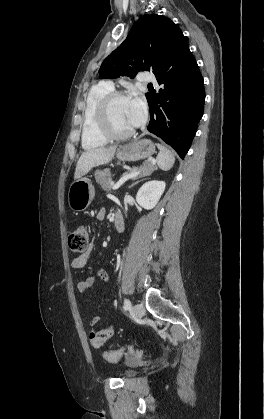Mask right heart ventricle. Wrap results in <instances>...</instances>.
<instances>
[{
  "instance_id": "e07e8e85",
  "label": "right heart ventricle",
  "mask_w": 264,
  "mask_h": 419,
  "mask_svg": "<svg viewBox=\"0 0 264 419\" xmlns=\"http://www.w3.org/2000/svg\"><path fill=\"white\" fill-rule=\"evenodd\" d=\"M111 91L112 88L105 83H100L93 86L87 94L81 135V144L86 150L101 147L108 141L98 128L97 107L100 100Z\"/></svg>"
}]
</instances>
